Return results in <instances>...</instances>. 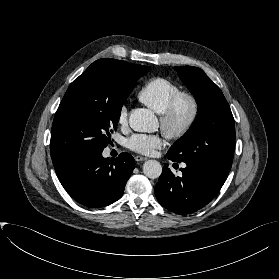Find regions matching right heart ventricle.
I'll use <instances>...</instances> for the list:
<instances>
[{
	"label": "right heart ventricle",
	"mask_w": 279,
	"mask_h": 279,
	"mask_svg": "<svg viewBox=\"0 0 279 279\" xmlns=\"http://www.w3.org/2000/svg\"><path fill=\"white\" fill-rule=\"evenodd\" d=\"M180 91L173 81L157 77L149 80L139 92V100L157 114H162L169 100Z\"/></svg>",
	"instance_id": "obj_1"
}]
</instances>
